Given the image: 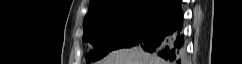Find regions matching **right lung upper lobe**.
I'll return each instance as SVG.
<instances>
[{
	"label": "right lung upper lobe",
	"mask_w": 242,
	"mask_h": 64,
	"mask_svg": "<svg viewBox=\"0 0 242 64\" xmlns=\"http://www.w3.org/2000/svg\"><path fill=\"white\" fill-rule=\"evenodd\" d=\"M177 0H91L84 24L107 14L147 9L164 14Z\"/></svg>",
	"instance_id": "1"
}]
</instances>
